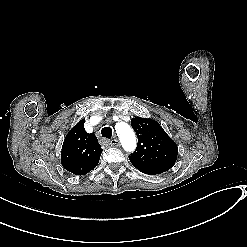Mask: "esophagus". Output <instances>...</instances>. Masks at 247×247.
I'll return each instance as SVG.
<instances>
[{"label": "esophagus", "instance_id": "obj_1", "mask_svg": "<svg viewBox=\"0 0 247 247\" xmlns=\"http://www.w3.org/2000/svg\"><path fill=\"white\" fill-rule=\"evenodd\" d=\"M110 143H111V145H113V146H118V145L120 144V142H119V140H118L117 138L111 140Z\"/></svg>", "mask_w": 247, "mask_h": 247}]
</instances>
